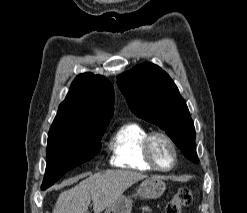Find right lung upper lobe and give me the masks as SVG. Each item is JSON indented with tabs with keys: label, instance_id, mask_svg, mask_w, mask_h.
<instances>
[{
	"label": "right lung upper lobe",
	"instance_id": "right-lung-upper-lobe-1",
	"mask_svg": "<svg viewBox=\"0 0 247 213\" xmlns=\"http://www.w3.org/2000/svg\"><path fill=\"white\" fill-rule=\"evenodd\" d=\"M114 110V89L101 75L83 73L71 84L50 129H94L108 125Z\"/></svg>",
	"mask_w": 247,
	"mask_h": 213
}]
</instances>
